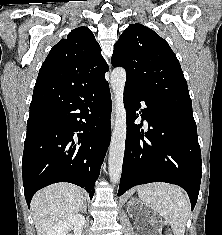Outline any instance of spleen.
<instances>
[{"instance_id": "3e777b00", "label": "spleen", "mask_w": 222, "mask_h": 235, "mask_svg": "<svg viewBox=\"0 0 222 235\" xmlns=\"http://www.w3.org/2000/svg\"><path fill=\"white\" fill-rule=\"evenodd\" d=\"M139 198L171 226L174 235H184L190 204L181 188L166 183H151L138 188Z\"/></svg>"}]
</instances>
